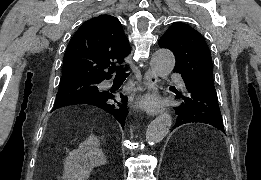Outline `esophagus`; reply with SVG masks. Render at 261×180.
<instances>
[{
  "label": "esophagus",
  "mask_w": 261,
  "mask_h": 180,
  "mask_svg": "<svg viewBox=\"0 0 261 180\" xmlns=\"http://www.w3.org/2000/svg\"><path fill=\"white\" fill-rule=\"evenodd\" d=\"M145 84V109L148 115H158L164 111V107L159 103L160 92L158 87V79L155 73L148 69L144 74Z\"/></svg>",
  "instance_id": "obj_1"
}]
</instances>
